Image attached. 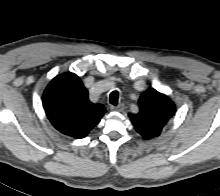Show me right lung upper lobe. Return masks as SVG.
<instances>
[{
    "label": "right lung upper lobe",
    "mask_w": 220,
    "mask_h": 196,
    "mask_svg": "<svg viewBox=\"0 0 220 196\" xmlns=\"http://www.w3.org/2000/svg\"><path fill=\"white\" fill-rule=\"evenodd\" d=\"M43 106L58 131L77 139L84 138L106 112L103 105L89 101L87 89L70 72L50 82L43 94Z\"/></svg>",
    "instance_id": "right-lung-upper-lobe-1"
}]
</instances>
